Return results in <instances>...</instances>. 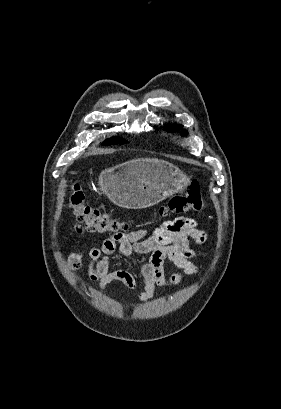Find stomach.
<instances>
[{"label": "stomach", "instance_id": "0dacf381", "mask_svg": "<svg viewBox=\"0 0 281 409\" xmlns=\"http://www.w3.org/2000/svg\"><path fill=\"white\" fill-rule=\"evenodd\" d=\"M98 184L114 205L146 209L175 192H182L192 180L176 164L148 156L105 168L100 172Z\"/></svg>", "mask_w": 281, "mask_h": 409}]
</instances>
